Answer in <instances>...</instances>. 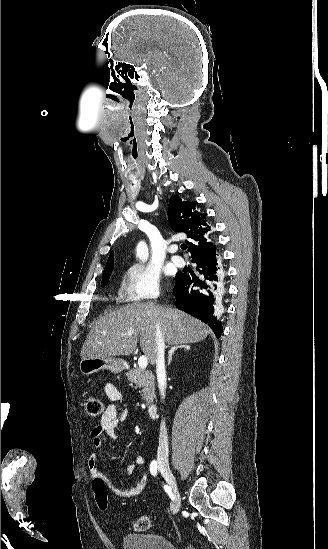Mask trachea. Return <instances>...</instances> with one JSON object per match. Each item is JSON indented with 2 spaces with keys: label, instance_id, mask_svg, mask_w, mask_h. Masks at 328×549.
I'll list each match as a JSON object with an SVG mask.
<instances>
[{
  "label": "trachea",
  "instance_id": "trachea-1",
  "mask_svg": "<svg viewBox=\"0 0 328 549\" xmlns=\"http://www.w3.org/2000/svg\"><path fill=\"white\" fill-rule=\"evenodd\" d=\"M186 248H187V245H186V244H182V245H181V249H182V250H185Z\"/></svg>",
  "mask_w": 328,
  "mask_h": 549
}]
</instances>
